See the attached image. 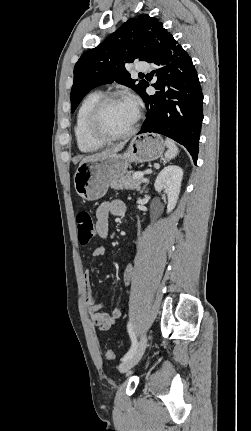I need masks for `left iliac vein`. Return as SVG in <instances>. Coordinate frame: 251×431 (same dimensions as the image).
I'll return each mask as SVG.
<instances>
[{
    "label": "left iliac vein",
    "instance_id": "1",
    "mask_svg": "<svg viewBox=\"0 0 251 431\" xmlns=\"http://www.w3.org/2000/svg\"><path fill=\"white\" fill-rule=\"evenodd\" d=\"M146 346H147V336H146V333L143 332L140 342L137 346V349L128 359H126L119 365V371L121 373H125L129 371L131 368H133L136 364H138V362L141 360L145 352Z\"/></svg>",
    "mask_w": 251,
    "mask_h": 431
}]
</instances>
